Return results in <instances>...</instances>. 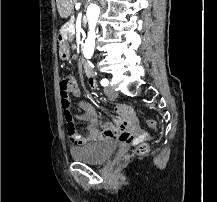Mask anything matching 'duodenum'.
Segmentation results:
<instances>
[{
  "label": "duodenum",
  "mask_w": 217,
  "mask_h": 202,
  "mask_svg": "<svg viewBox=\"0 0 217 202\" xmlns=\"http://www.w3.org/2000/svg\"><path fill=\"white\" fill-rule=\"evenodd\" d=\"M83 70L89 80L94 79V71L90 64L85 63L83 66Z\"/></svg>",
  "instance_id": "duodenum-1"
}]
</instances>
